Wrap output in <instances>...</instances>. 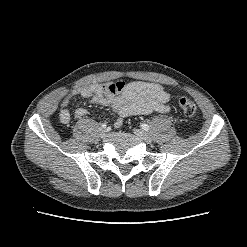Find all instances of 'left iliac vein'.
Wrapping results in <instances>:
<instances>
[{
	"instance_id": "obj_1",
	"label": "left iliac vein",
	"mask_w": 247,
	"mask_h": 247,
	"mask_svg": "<svg viewBox=\"0 0 247 247\" xmlns=\"http://www.w3.org/2000/svg\"><path fill=\"white\" fill-rule=\"evenodd\" d=\"M134 133L136 136H138L147 143H150L152 141L150 135L140 129H134Z\"/></svg>"
}]
</instances>
